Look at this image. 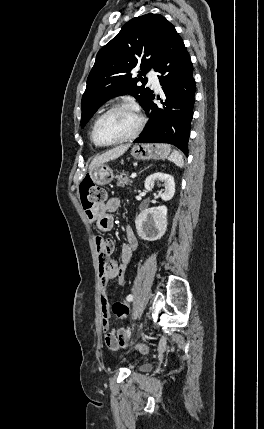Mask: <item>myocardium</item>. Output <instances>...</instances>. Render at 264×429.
Instances as JSON below:
<instances>
[{"mask_svg": "<svg viewBox=\"0 0 264 429\" xmlns=\"http://www.w3.org/2000/svg\"><path fill=\"white\" fill-rule=\"evenodd\" d=\"M120 110L130 111L136 117L137 124H136L135 129L133 130V132L131 134H129L128 136H126L124 138H121L119 140L109 142V143H101L100 141H98V139L96 137V129H97L98 123L108 114L115 112V111H120ZM144 124H145V118L136 105H134L132 103H128V102L118 103V104L111 106L107 110H105L102 114H100L96 118V120L93 124V127H92L91 138H92V141L94 142V144L99 146V147H109V146L125 143V142L131 141V140L137 138L139 136V134L142 132Z\"/></svg>", "mask_w": 264, "mask_h": 429, "instance_id": "f54148a6", "label": "myocardium"}]
</instances>
